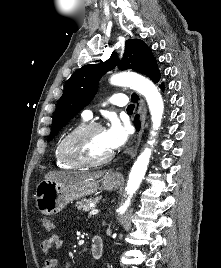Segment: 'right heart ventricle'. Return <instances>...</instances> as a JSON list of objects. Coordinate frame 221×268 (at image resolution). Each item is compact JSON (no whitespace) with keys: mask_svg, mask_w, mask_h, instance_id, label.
Returning <instances> with one entry per match:
<instances>
[{"mask_svg":"<svg viewBox=\"0 0 221 268\" xmlns=\"http://www.w3.org/2000/svg\"><path fill=\"white\" fill-rule=\"evenodd\" d=\"M82 125V124H81ZM80 126V125H79ZM73 130H70L69 132H66L64 135H62V137L58 140L55 149H54V157H55V162L57 164L58 167L60 168H65V169H72V168H76L77 166L72 165L68 162H66L65 160H63V158L61 157L60 154V147H61V143L64 140V138Z\"/></svg>","mask_w":221,"mask_h":268,"instance_id":"obj_1","label":"right heart ventricle"}]
</instances>
